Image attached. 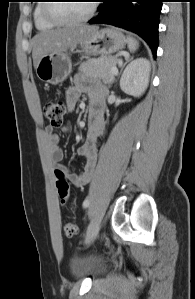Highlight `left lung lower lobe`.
Wrapping results in <instances>:
<instances>
[{
  "instance_id": "obj_1",
  "label": "left lung lower lobe",
  "mask_w": 195,
  "mask_h": 299,
  "mask_svg": "<svg viewBox=\"0 0 195 299\" xmlns=\"http://www.w3.org/2000/svg\"><path fill=\"white\" fill-rule=\"evenodd\" d=\"M100 13L90 24H110L132 31L150 46L158 47L159 15L163 0H102Z\"/></svg>"
}]
</instances>
